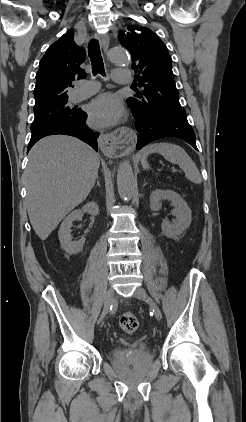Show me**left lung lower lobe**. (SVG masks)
Segmentation results:
<instances>
[{
  "mask_svg": "<svg viewBox=\"0 0 246 422\" xmlns=\"http://www.w3.org/2000/svg\"><path fill=\"white\" fill-rule=\"evenodd\" d=\"M138 131L137 149L140 150L150 142L163 137L180 138L196 150L195 134L188 123L186 116L178 115H145L143 112L132 109Z\"/></svg>",
  "mask_w": 246,
  "mask_h": 422,
  "instance_id": "1",
  "label": "left lung lower lobe"
}]
</instances>
